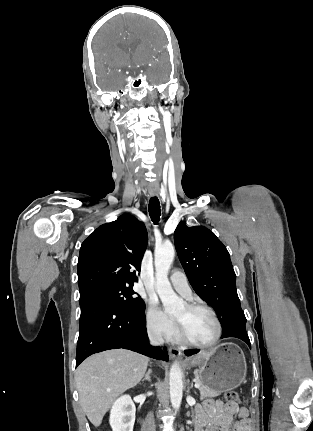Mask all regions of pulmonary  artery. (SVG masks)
I'll list each match as a JSON object with an SVG mask.
<instances>
[{"mask_svg":"<svg viewBox=\"0 0 313 431\" xmlns=\"http://www.w3.org/2000/svg\"><path fill=\"white\" fill-rule=\"evenodd\" d=\"M170 281L173 288L186 298H190L192 291L185 274L179 270L171 273Z\"/></svg>","mask_w":313,"mask_h":431,"instance_id":"1","label":"pulmonary artery"}]
</instances>
